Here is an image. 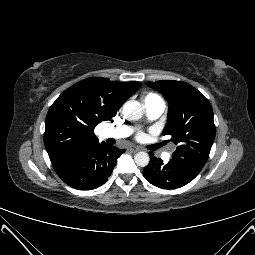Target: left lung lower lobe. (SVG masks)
Listing matches in <instances>:
<instances>
[{
    "label": "left lung lower lobe",
    "instance_id": "obj_1",
    "mask_svg": "<svg viewBox=\"0 0 255 255\" xmlns=\"http://www.w3.org/2000/svg\"><path fill=\"white\" fill-rule=\"evenodd\" d=\"M150 162L144 168L143 175L152 185L161 189H175L192 181L202 167L183 160H170L167 164L150 152Z\"/></svg>",
    "mask_w": 255,
    "mask_h": 255
}]
</instances>
